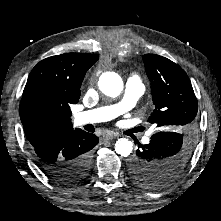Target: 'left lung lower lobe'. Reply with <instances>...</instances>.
Segmentation results:
<instances>
[{"label":"left lung lower lobe","mask_w":221,"mask_h":221,"mask_svg":"<svg viewBox=\"0 0 221 221\" xmlns=\"http://www.w3.org/2000/svg\"><path fill=\"white\" fill-rule=\"evenodd\" d=\"M173 138L174 135L172 132L169 131L159 132L152 135L149 144L146 145L139 144V147L136 151V155L132 158L129 164L130 175L134 179V181L136 182L141 181L140 179L144 172L154 171L153 173H155L156 171H158V170H149L147 168L151 167L153 165L152 163L156 161V157L158 156L157 154L158 150L160 149L162 144L165 141L172 140ZM173 181L174 180L170 181L168 184L172 183Z\"/></svg>","instance_id":"left-lung-lower-lobe-1"}]
</instances>
